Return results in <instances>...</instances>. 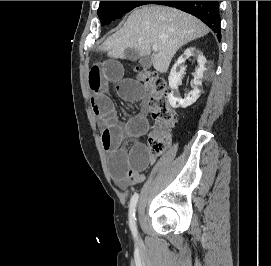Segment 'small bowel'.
I'll return each instance as SVG.
<instances>
[{
	"mask_svg": "<svg viewBox=\"0 0 271 266\" xmlns=\"http://www.w3.org/2000/svg\"><path fill=\"white\" fill-rule=\"evenodd\" d=\"M91 91L90 105L101 127V141L109 153V169L117 186L126 188L144 180L145 173L155 158L142 142L129 148L126 139H139L149 130L145 111L120 122L111 98L114 89L126 101H142L145 92L133 79L124 77L123 65L117 60H107L91 67L88 75Z\"/></svg>",
	"mask_w": 271,
	"mask_h": 266,
	"instance_id": "c3829d8e",
	"label": "small bowel"
}]
</instances>
